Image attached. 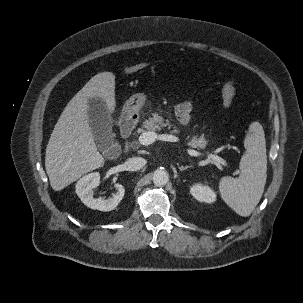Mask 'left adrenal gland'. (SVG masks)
<instances>
[{
  "label": "left adrenal gland",
  "mask_w": 303,
  "mask_h": 303,
  "mask_svg": "<svg viewBox=\"0 0 303 303\" xmlns=\"http://www.w3.org/2000/svg\"><path fill=\"white\" fill-rule=\"evenodd\" d=\"M192 167V165H187V166H179L178 168H179V170L180 171H184V170H186V169H188V168H191Z\"/></svg>",
  "instance_id": "a2214340"
}]
</instances>
